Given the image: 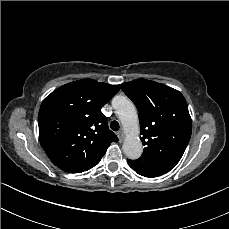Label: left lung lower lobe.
<instances>
[{"label": "left lung lower lobe", "instance_id": "1", "mask_svg": "<svg viewBox=\"0 0 229 229\" xmlns=\"http://www.w3.org/2000/svg\"><path fill=\"white\" fill-rule=\"evenodd\" d=\"M128 164L130 165L131 168H133L138 174L143 175L145 177H151L149 174L145 173L144 171L138 169L132 162L131 160H127Z\"/></svg>", "mask_w": 229, "mask_h": 229}]
</instances>
